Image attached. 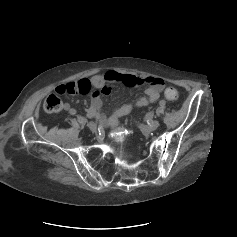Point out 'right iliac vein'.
I'll list each match as a JSON object with an SVG mask.
<instances>
[{
  "mask_svg": "<svg viewBox=\"0 0 237 237\" xmlns=\"http://www.w3.org/2000/svg\"><path fill=\"white\" fill-rule=\"evenodd\" d=\"M88 127H89V129L91 130V131H96V129H97V125H96V123H94V122H89L88 123Z\"/></svg>",
  "mask_w": 237,
  "mask_h": 237,
  "instance_id": "obj_1",
  "label": "right iliac vein"
}]
</instances>
